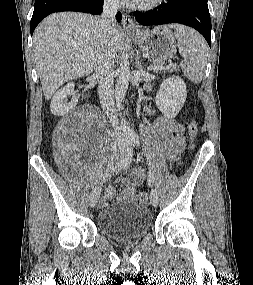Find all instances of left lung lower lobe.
Here are the masks:
<instances>
[{"mask_svg": "<svg viewBox=\"0 0 253 285\" xmlns=\"http://www.w3.org/2000/svg\"><path fill=\"white\" fill-rule=\"evenodd\" d=\"M141 25L181 23L199 31L211 47V19L207 0H166L147 13L135 12Z\"/></svg>", "mask_w": 253, "mask_h": 285, "instance_id": "1", "label": "left lung lower lobe"}]
</instances>
